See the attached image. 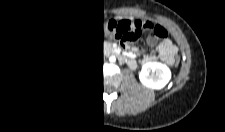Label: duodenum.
Instances as JSON below:
<instances>
[{
    "instance_id": "410a0bca",
    "label": "duodenum",
    "mask_w": 225,
    "mask_h": 132,
    "mask_svg": "<svg viewBox=\"0 0 225 132\" xmlns=\"http://www.w3.org/2000/svg\"><path fill=\"white\" fill-rule=\"evenodd\" d=\"M109 54H115L120 60H128L127 56L121 53L118 49H110Z\"/></svg>"
}]
</instances>
